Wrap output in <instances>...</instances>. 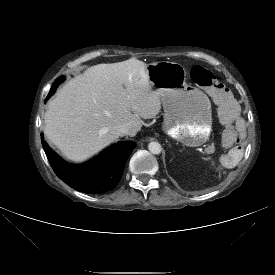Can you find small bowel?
<instances>
[{
	"instance_id": "c3829d8e",
	"label": "small bowel",
	"mask_w": 275,
	"mask_h": 275,
	"mask_svg": "<svg viewBox=\"0 0 275 275\" xmlns=\"http://www.w3.org/2000/svg\"><path fill=\"white\" fill-rule=\"evenodd\" d=\"M240 110V105L232 96L218 107V118L225 129L224 149L220 152L219 164L228 170L236 169L240 165L247 149V138L244 134L245 123Z\"/></svg>"
}]
</instances>
